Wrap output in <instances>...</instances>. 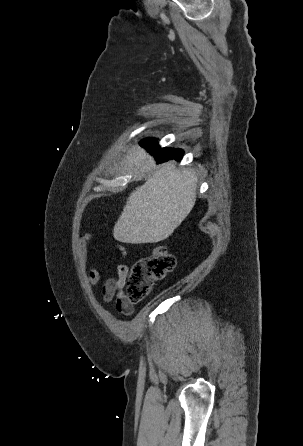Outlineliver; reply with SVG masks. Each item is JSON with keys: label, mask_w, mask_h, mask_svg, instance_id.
Listing matches in <instances>:
<instances>
[{"label": "liver", "mask_w": 303, "mask_h": 446, "mask_svg": "<svg viewBox=\"0 0 303 446\" xmlns=\"http://www.w3.org/2000/svg\"><path fill=\"white\" fill-rule=\"evenodd\" d=\"M126 164L144 172L154 166V160L144 149L138 148ZM196 188L195 172L179 170L174 162L165 164L130 194L114 226V238L130 244L167 239L192 210Z\"/></svg>", "instance_id": "obj_1"}]
</instances>
